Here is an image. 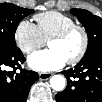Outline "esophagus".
Masks as SVG:
<instances>
[{"instance_id": "34e87169", "label": "esophagus", "mask_w": 102, "mask_h": 102, "mask_svg": "<svg viewBox=\"0 0 102 102\" xmlns=\"http://www.w3.org/2000/svg\"><path fill=\"white\" fill-rule=\"evenodd\" d=\"M52 73H39L40 80H48L52 77Z\"/></svg>"}]
</instances>
